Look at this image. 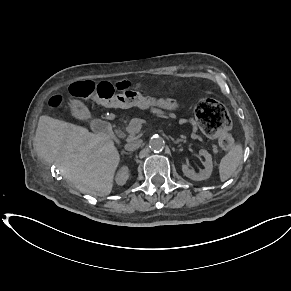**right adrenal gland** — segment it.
<instances>
[{"instance_id": "right-adrenal-gland-1", "label": "right adrenal gland", "mask_w": 291, "mask_h": 291, "mask_svg": "<svg viewBox=\"0 0 291 291\" xmlns=\"http://www.w3.org/2000/svg\"><path fill=\"white\" fill-rule=\"evenodd\" d=\"M122 154H127V155H130V154H131V152L122 151Z\"/></svg>"}]
</instances>
